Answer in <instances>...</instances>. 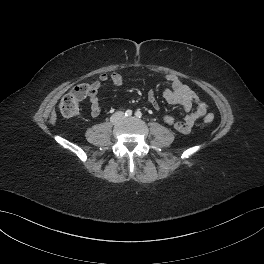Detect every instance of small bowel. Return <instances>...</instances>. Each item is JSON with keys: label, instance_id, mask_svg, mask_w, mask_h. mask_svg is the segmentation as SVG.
Masks as SVG:
<instances>
[{"label": "small bowel", "instance_id": "small-bowel-1", "mask_svg": "<svg viewBox=\"0 0 264 264\" xmlns=\"http://www.w3.org/2000/svg\"><path fill=\"white\" fill-rule=\"evenodd\" d=\"M165 80L170 84V87L163 90L162 95L164 99L171 105H177L183 108L187 112V115L182 120L171 115H165L163 120L176 131L187 134L191 131L195 123L207 114L208 105L197 93L182 83L177 76L166 75ZM107 81H110L114 86H121L123 84V77L117 72H113L109 76L107 74H101L96 81L90 84L88 98L90 101L91 115L93 117H97L101 113L98 92ZM148 100L155 110L159 109L154 90L148 92Z\"/></svg>", "mask_w": 264, "mask_h": 264}]
</instances>
